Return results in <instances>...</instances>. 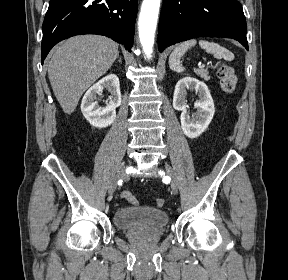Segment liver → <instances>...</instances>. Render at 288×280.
Returning <instances> with one entry per match:
<instances>
[{"instance_id": "obj_1", "label": "liver", "mask_w": 288, "mask_h": 280, "mask_svg": "<svg viewBox=\"0 0 288 280\" xmlns=\"http://www.w3.org/2000/svg\"><path fill=\"white\" fill-rule=\"evenodd\" d=\"M118 54V44L99 35L75 36L54 50L48 77L64 113H73L82 94L108 71Z\"/></svg>"}]
</instances>
